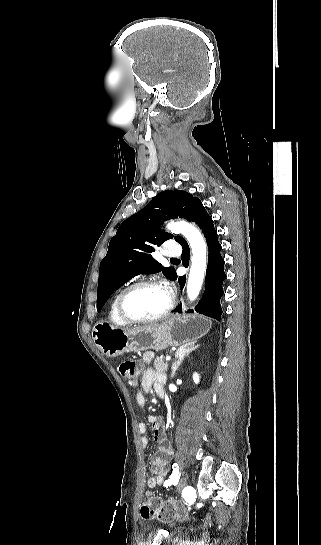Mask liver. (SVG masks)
Listing matches in <instances>:
<instances>
[{"label": "liver", "instance_id": "6515ba94", "mask_svg": "<svg viewBox=\"0 0 321 545\" xmlns=\"http://www.w3.org/2000/svg\"><path fill=\"white\" fill-rule=\"evenodd\" d=\"M123 331H126V333H127V329H123Z\"/></svg>", "mask_w": 321, "mask_h": 545}]
</instances>
